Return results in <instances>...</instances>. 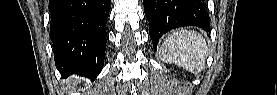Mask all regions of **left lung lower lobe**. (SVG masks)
<instances>
[{"instance_id": "1", "label": "left lung lower lobe", "mask_w": 277, "mask_h": 95, "mask_svg": "<svg viewBox=\"0 0 277 95\" xmlns=\"http://www.w3.org/2000/svg\"><path fill=\"white\" fill-rule=\"evenodd\" d=\"M143 3L155 50L159 38L171 29L190 25L205 30L210 27L204 0H143Z\"/></svg>"}]
</instances>
